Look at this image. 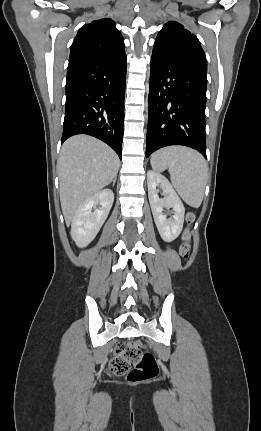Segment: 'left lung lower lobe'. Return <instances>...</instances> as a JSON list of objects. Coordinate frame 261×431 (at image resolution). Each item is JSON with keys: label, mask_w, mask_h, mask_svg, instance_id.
Listing matches in <instances>:
<instances>
[{"label": "left lung lower lobe", "mask_w": 261, "mask_h": 431, "mask_svg": "<svg viewBox=\"0 0 261 431\" xmlns=\"http://www.w3.org/2000/svg\"><path fill=\"white\" fill-rule=\"evenodd\" d=\"M206 71L153 51L150 69L146 157L183 145L206 157Z\"/></svg>", "instance_id": "obj_1"}]
</instances>
